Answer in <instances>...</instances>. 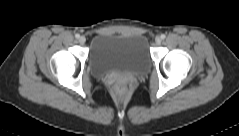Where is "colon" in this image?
Returning <instances> with one entry per match:
<instances>
[{"instance_id":"colon-1","label":"colon","mask_w":239,"mask_h":136,"mask_svg":"<svg viewBox=\"0 0 239 136\" xmlns=\"http://www.w3.org/2000/svg\"><path fill=\"white\" fill-rule=\"evenodd\" d=\"M127 88V84L123 80H115L111 86L112 92L116 96H125Z\"/></svg>"}]
</instances>
